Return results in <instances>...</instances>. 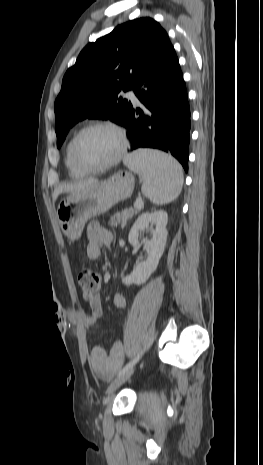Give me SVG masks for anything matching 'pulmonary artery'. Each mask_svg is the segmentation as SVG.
Returning <instances> with one entry per match:
<instances>
[{
    "label": "pulmonary artery",
    "instance_id": "pulmonary-artery-1",
    "mask_svg": "<svg viewBox=\"0 0 263 465\" xmlns=\"http://www.w3.org/2000/svg\"><path fill=\"white\" fill-rule=\"evenodd\" d=\"M126 97L128 99H130L134 104H138L139 103V99L137 97V95L135 94V92L133 90H129L126 92Z\"/></svg>",
    "mask_w": 263,
    "mask_h": 465
}]
</instances>
